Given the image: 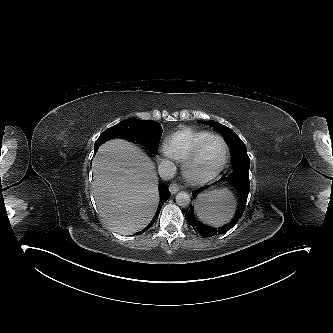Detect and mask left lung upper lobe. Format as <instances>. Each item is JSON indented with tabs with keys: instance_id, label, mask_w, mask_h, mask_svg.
I'll use <instances>...</instances> for the list:
<instances>
[{
	"instance_id": "obj_1",
	"label": "left lung upper lobe",
	"mask_w": 333,
	"mask_h": 333,
	"mask_svg": "<svg viewBox=\"0 0 333 333\" xmlns=\"http://www.w3.org/2000/svg\"><path fill=\"white\" fill-rule=\"evenodd\" d=\"M207 124L217 130L225 138L230 150L233 162L234 172L228 177L230 179L248 176L250 168V159L246 152V146L237 134L225 125L216 122L199 121ZM225 177V175H224Z\"/></svg>"
}]
</instances>
